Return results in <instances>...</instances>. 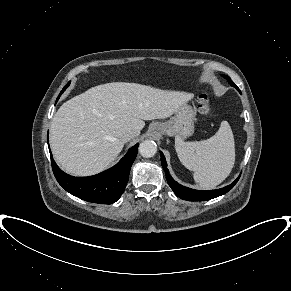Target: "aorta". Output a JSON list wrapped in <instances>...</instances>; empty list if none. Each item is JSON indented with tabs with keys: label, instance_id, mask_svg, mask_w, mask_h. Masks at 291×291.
<instances>
[{
	"label": "aorta",
	"instance_id": "762f6f07",
	"mask_svg": "<svg viewBox=\"0 0 291 291\" xmlns=\"http://www.w3.org/2000/svg\"><path fill=\"white\" fill-rule=\"evenodd\" d=\"M157 152V145L152 140H145L139 146V153L142 157H153Z\"/></svg>",
	"mask_w": 291,
	"mask_h": 291
}]
</instances>
